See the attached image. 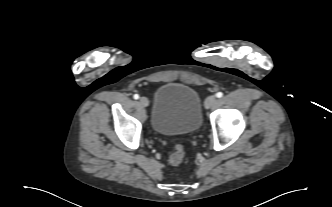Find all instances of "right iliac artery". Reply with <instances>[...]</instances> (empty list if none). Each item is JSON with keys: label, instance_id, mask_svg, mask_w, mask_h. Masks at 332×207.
Returning <instances> with one entry per match:
<instances>
[{"label": "right iliac artery", "instance_id": "1", "mask_svg": "<svg viewBox=\"0 0 332 207\" xmlns=\"http://www.w3.org/2000/svg\"><path fill=\"white\" fill-rule=\"evenodd\" d=\"M133 98L137 100V99H139V95H138V94H135V95L133 96Z\"/></svg>", "mask_w": 332, "mask_h": 207}]
</instances>
